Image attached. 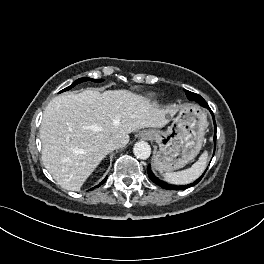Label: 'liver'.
Instances as JSON below:
<instances>
[{
	"mask_svg": "<svg viewBox=\"0 0 264 264\" xmlns=\"http://www.w3.org/2000/svg\"><path fill=\"white\" fill-rule=\"evenodd\" d=\"M177 109H160L127 90L58 95L45 108L40 126L43 165L61 187L79 191L108 154L106 143L124 147L129 133L162 128Z\"/></svg>",
	"mask_w": 264,
	"mask_h": 264,
	"instance_id": "liver-1",
	"label": "liver"
}]
</instances>
